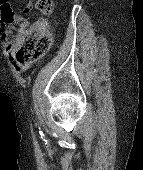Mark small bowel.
Masks as SVG:
<instances>
[{"label":"small bowel","instance_id":"small-bowel-1","mask_svg":"<svg viewBox=\"0 0 143 170\" xmlns=\"http://www.w3.org/2000/svg\"><path fill=\"white\" fill-rule=\"evenodd\" d=\"M32 9V3L29 1L24 9V14H27ZM13 25H18L17 34L14 35L12 32ZM29 23L23 15H15L13 21L9 23H2L0 25L1 37L6 40V49L9 53L10 60L16 72L23 73L27 71L32 63H21L15 58V51L18 48L23 32L27 29Z\"/></svg>","mask_w":143,"mask_h":170}]
</instances>
